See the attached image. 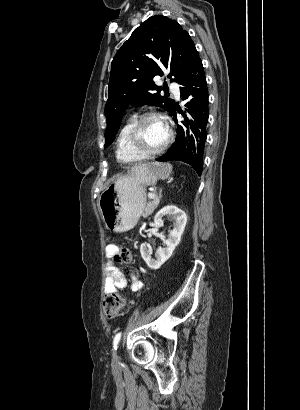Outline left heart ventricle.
I'll use <instances>...</instances> for the list:
<instances>
[{"instance_id": "b2bd125f", "label": "left heart ventricle", "mask_w": 300, "mask_h": 410, "mask_svg": "<svg viewBox=\"0 0 300 410\" xmlns=\"http://www.w3.org/2000/svg\"><path fill=\"white\" fill-rule=\"evenodd\" d=\"M167 134V128L161 120L150 119L142 125L140 138L145 148L156 149L165 142Z\"/></svg>"}]
</instances>
